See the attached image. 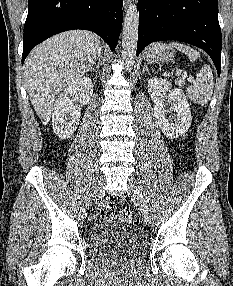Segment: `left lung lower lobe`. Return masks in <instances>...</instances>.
I'll list each match as a JSON object with an SVG mask.
<instances>
[{
    "label": "left lung lower lobe",
    "instance_id": "1",
    "mask_svg": "<svg viewBox=\"0 0 233 286\" xmlns=\"http://www.w3.org/2000/svg\"><path fill=\"white\" fill-rule=\"evenodd\" d=\"M137 56L155 41L177 40L202 48L221 72L222 37L217 0H138Z\"/></svg>",
    "mask_w": 233,
    "mask_h": 286
}]
</instances>
